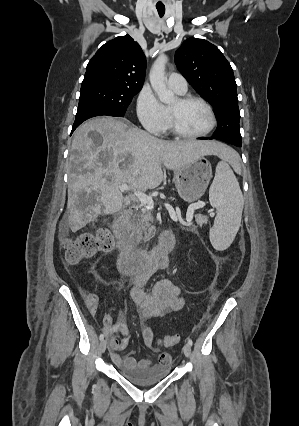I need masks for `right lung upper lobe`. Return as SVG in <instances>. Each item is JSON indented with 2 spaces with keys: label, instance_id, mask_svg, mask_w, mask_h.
Returning a JSON list of instances; mask_svg holds the SVG:
<instances>
[{
  "label": "right lung upper lobe",
  "instance_id": "right-lung-upper-lobe-1",
  "mask_svg": "<svg viewBox=\"0 0 299 426\" xmlns=\"http://www.w3.org/2000/svg\"><path fill=\"white\" fill-rule=\"evenodd\" d=\"M146 58L141 47L129 35L104 44L87 65L82 85L108 83L142 88Z\"/></svg>",
  "mask_w": 299,
  "mask_h": 426
}]
</instances>
